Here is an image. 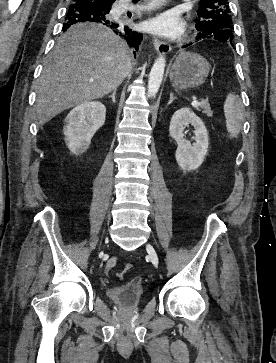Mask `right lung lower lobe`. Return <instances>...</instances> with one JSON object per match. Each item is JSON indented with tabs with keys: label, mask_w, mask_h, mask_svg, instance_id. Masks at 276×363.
Instances as JSON below:
<instances>
[{
	"label": "right lung lower lobe",
	"mask_w": 276,
	"mask_h": 363,
	"mask_svg": "<svg viewBox=\"0 0 276 363\" xmlns=\"http://www.w3.org/2000/svg\"><path fill=\"white\" fill-rule=\"evenodd\" d=\"M66 22L63 25V31H66L72 24L78 22H95L110 27L117 35L124 38L131 48L137 51L143 35L130 29L127 25L111 20L103 10L95 6V3H78L69 7L66 16ZM135 53V52H134Z\"/></svg>",
	"instance_id": "obj_1"
}]
</instances>
